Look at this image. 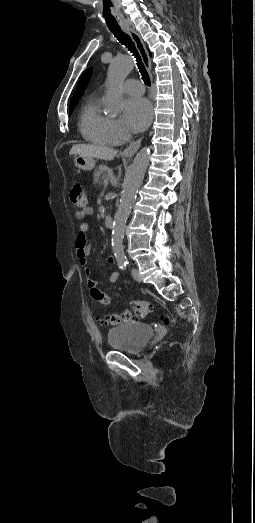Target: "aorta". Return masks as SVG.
Segmentation results:
<instances>
[{
    "mask_svg": "<svg viewBox=\"0 0 255 523\" xmlns=\"http://www.w3.org/2000/svg\"><path fill=\"white\" fill-rule=\"evenodd\" d=\"M133 66L132 58L127 55L115 58L109 66L106 108L111 114L117 115L122 110L123 94L120 90V85L132 71ZM150 155V149L147 147L142 148L137 153L124 182L120 204L114 216L112 231V248L115 258L118 261L126 259L123 246L125 225L131 205L136 198V193L143 182L146 169L149 165Z\"/></svg>",
    "mask_w": 255,
    "mask_h": 523,
    "instance_id": "aorta-1",
    "label": "aorta"
}]
</instances>
